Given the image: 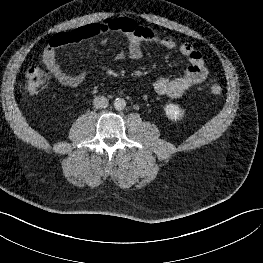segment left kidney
I'll list each match as a JSON object with an SVG mask.
<instances>
[{"instance_id":"obj_1","label":"left kidney","mask_w":263,"mask_h":263,"mask_svg":"<svg viewBox=\"0 0 263 263\" xmlns=\"http://www.w3.org/2000/svg\"><path fill=\"white\" fill-rule=\"evenodd\" d=\"M166 116L174 121L180 120L183 117L184 112L175 104H167L164 108Z\"/></svg>"}]
</instances>
